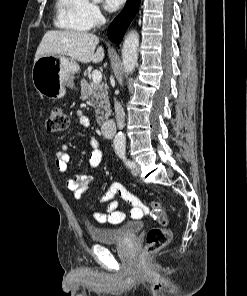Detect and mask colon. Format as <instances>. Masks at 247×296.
Wrapping results in <instances>:
<instances>
[{
  "label": "colon",
  "mask_w": 247,
  "mask_h": 296,
  "mask_svg": "<svg viewBox=\"0 0 247 296\" xmlns=\"http://www.w3.org/2000/svg\"><path fill=\"white\" fill-rule=\"evenodd\" d=\"M69 120L62 108L53 107L49 111L46 122L47 130L51 133L65 131L68 128ZM134 204L139 205L145 212L152 211L159 226L151 228L146 235L145 254H153L166 247L171 239L172 231L168 226V218L163 207L158 201H151L147 206L138 198L134 200ZM142 211H135L134 217H140Z\"/></svg>",
  "instance_id": "1"
}]
</instances>
